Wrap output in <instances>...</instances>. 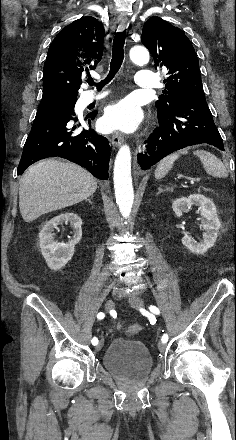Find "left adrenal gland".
I'll use <instances>...</instances> for the list:
<instances>
[{"label": "left adrenal gland", "instance_id": "1", "mask_svg": "<svg viewBox=\"0 0 236 440\" xmlns=\"http://www.w3.org/2000/svg\"><path fill=\"white\" fill-rule=\"evenodd\" d=\"M172 190H173V189H172V188H169V187H166L165 189H163L162 187H159V188H158L157 195L160 194V193H162V192H164V191H172Z\"/></svg>", "mask_w": 236, "mask_h": 440}]
</instances>
